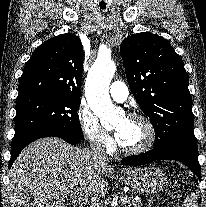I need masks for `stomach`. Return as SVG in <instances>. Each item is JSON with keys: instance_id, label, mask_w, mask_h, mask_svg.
Returning a JSON list of instances; mask_svg holds the SVG:
<instances>
[{"instance_id": "1", "label": "stomach", "mask_w": 206, "mask_h": 207, "mask_svg": "<svg viewBox=\"0 0 206 207\" xmlns=\"http://www.w3.org/2000/svg\"><path fill=\"white\" fill-rule=\"evenodd\" d=\"M122 181L134 191L144 195L157 194L167 185L165 174L153 166L136 168L123 177Z\"/></svg>"}]
</instances>
